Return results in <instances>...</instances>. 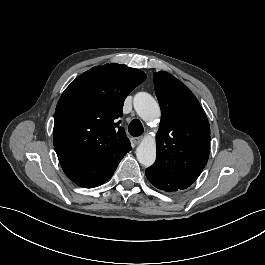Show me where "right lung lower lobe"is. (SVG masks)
<instances>
[{
    "label": "right lung lower lobe",
    "mask_w": 265,
    "mask_h": 265,
    "mask_svg": "<svg viewBox=\"0 0 265 265\" xmlns=\"http://www.w3.org/2000/svg\"><path fill=\"white\" fill-rule=\"evenodd\" d=\"M131 145L115 147L104 156H58L67 177L75 184L93 188L107 181Z\"/></svg>",
    "instance_id": "1"
}]
</instances>
